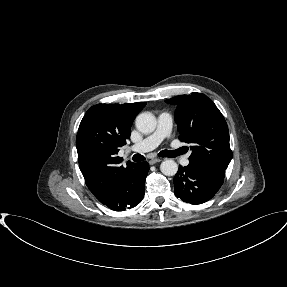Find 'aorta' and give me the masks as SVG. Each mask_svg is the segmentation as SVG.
<instances>
[{"label": "aorta", "mask_w": 287, "mask_h": 287, "mask_svg": "<svg viewBox=\"0 0 287 287\" xmlns=\"http://www.w3.org/2000/svg\"><path fill=\"white\" fill-rule=\"evenodd\" d=\"M136 128L145 134L152 133L156 129L157 121L150 112H143L136 117ZM161 172L166 176H174L178 171V165L171 159L164 160L160 165Z\"/></svg>", "instance_id": "1"}]
</instances>
